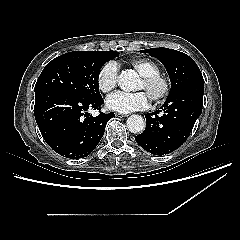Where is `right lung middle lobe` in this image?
Returning <instances> with one entry per match:
<instances>
[{"instance_id": "obj_1", "label": "right lung middle lobe", "mask_w": 240, "mask_h": 240, "mask_svg": "<svg viewBox=\"0 0 240 240\" xmlns=\"http://www.w3.org/2000/svg\"><path fill=\"white\" fill-rule=\"evenodd\" d=\"M117 56L116 51H73L63 54L45 66L34 91H61L84 99L100 98V69Z\"/></svg>"}]
</instances>
